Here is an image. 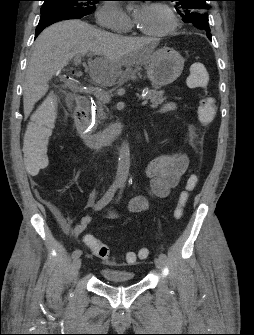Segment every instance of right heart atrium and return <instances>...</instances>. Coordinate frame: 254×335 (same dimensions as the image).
<instances>
[{
  "instance_id": "right-heart-atrium-1",
  "label": "right heart atrium",
  "mask_w": 254,
  "mask_h": 335,
  "mask_svg": "<svg viewBox=\"0 0 254 335\" xmlns=\"http://www.w3.org/2000/svg\"><path fill=\"white\" fill-rule=\"evenodd\" d=\"M97 23L117 32L130 31L132 24L128 16L115 2H106L96 12Z\"/></svg>"
}]
</instances>
